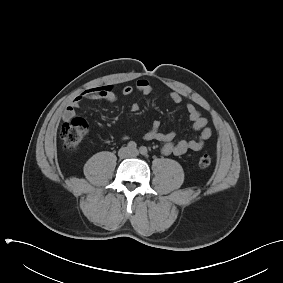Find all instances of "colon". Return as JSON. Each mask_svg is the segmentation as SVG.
<instances>
[{
    "label": "colon",
    "mask_w": 283,
    "mask_h": 283,
    "mask_svg": "<svg viewBox=\"0 0 283 283\" xmlns=\"http://www.w3.org/2000/svg\"><path fill=\"white\" fill-rule=\"evenodd\" d=\"M88 132V124L84 119L75 118L62 125L60 129V137L63 146L67 151L76 150L82 143ZM200 168H207L211 165L212 159L208 154H202L197 160Z\"/></svg>",
    "instance_id": "obj_1"
}]
</instances>
